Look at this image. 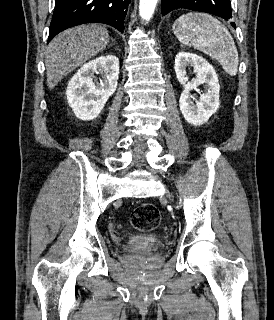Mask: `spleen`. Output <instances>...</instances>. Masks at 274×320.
Segmentation results:
<instances>
[{
	"label": "spleen",
	"instance_id": "obj_1",
	"mask_svg": "<svg viewBox=\"0 0 274 320\" xmlns=\"http://www.w3.org/2000/svg\"><path fill=\"white\" fill-rule=\"evenodd\" d=\"M173 32L179 42L209 54L220 62L226 74L236 76L239 64L237 48L230 32L217 18L190 12L175 20Z\"/></svg>",
	"mask_w": 274,
	"mask_h": 320
}]
</instances>
